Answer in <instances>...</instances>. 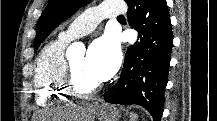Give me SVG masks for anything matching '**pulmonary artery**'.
Returning a JSON list of instances; mask_svg holds the SVG:
<instances>
[{
  "label": "pulmonary artery",
  "instance_id": "1",
  "mask_svg": "<svg viewBox=\"0 0 217 121\" xmlns=\"http://www.w3.org/2000/svg\"><path fill=\"white\" fill-rule=\"evenodd\" d=\"M125 12L126 7L118 2L102 3L86 10L74 19L59 36L67 41L73 40L93 31L103 18H117Z\"/></svg>",
  "mask_w": 217,
  "mask_h": 121
}]
</instances>
